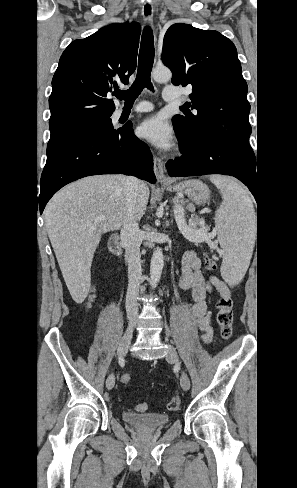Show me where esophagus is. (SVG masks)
Masks as SVG:
<instances>
[{"instance_id": "34e87169", "label": "esophagus", "mask_w": 297, "mask_h": 488, "mask_svg": "<svg viewBox=\"0 0 297 488\" xmlns=\"http://www.w3.org/2000/svg\"><path fill=\"white\" fill-rule=\"evenodd\" d=\"M153 13H154V8H153L152 3L145 2L143 7H142V16H143L144 24L146 26H151L152 19H153ZM153 164H154L153 165L154 173H155V176H156L158 182H161V183L167 182V177L165 176V173H164L163 161L159 157L155 156Z\"/></svg>"}]
</instances>
